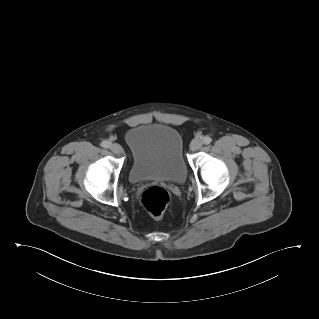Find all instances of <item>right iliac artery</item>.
<instances>
[{
  "label": "right iliac artery",
  "instance_id": "right-iliac-artery-1",
  "mask_svg": "<svg viewBox=\"0 0 319 319\" xmlns=\"http://www.w3.org/2000/svg\"><path fill=\"white\" fill-rule=\"evenodd\" d=\"M101 146H102L103 148H109V147L111 146V143H110L109 141H103V142L101 143Z\"/></svg>",
  "mask_w": 319,
  "mask_h": 319
}]
</instances>
